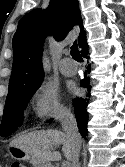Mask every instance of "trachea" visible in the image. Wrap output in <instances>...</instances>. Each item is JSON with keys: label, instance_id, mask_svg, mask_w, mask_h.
Segmentation results:
<instances>
[{"label": "trachea", "instance_id": "obj_1", "mask_svg": "<svg viewBox=\"0 0 125 167\" xmlns=\"http://www.w3.org/2000/svg\"><path fill=\"white\" fill-rule=\"evenodd\" d=\"M71 56L74 60H76L77 62H82L83 59L81 57V54L78 50V45L77 42L75 41L71 47Z\"/></svg>", "mask_w": 125, "mask_h": 167}]
</instances>
